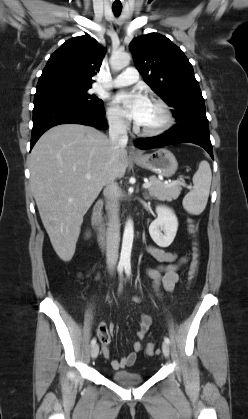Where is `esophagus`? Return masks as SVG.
<instances>
[{
  "label": "esophagus",
  "mask_w": 248,
  "mask_h": 419,
  "mask_svg": "<svg viewBox=\"0 0 248 419\" xmlns=\"http://www.w3.org/2000/svg\"><path fill=\"white\" fill-rule=\"evenodd\" d=\"M128 154L131 157H137L141 155L139 151L135 150L134 146L131 143L128 148Z\"/></svg>",
  "instance_id": "1"
}]
</instances>
